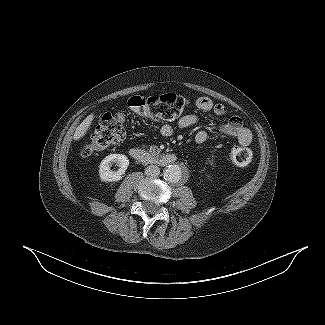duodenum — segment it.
Returning a JSON list of instances; mask_svg holds the SVG:
<instances>
[{
    "instance_id": "1",
    "label": "duodenum",
    "mask_w": 325,
    "mask_h": 325,
    "mask_svg": "<svg viewBox=\"0 0 325 325\" xmlns=\"http://www.w3.org/2000/svg\"><path fill=\"white\" fill-rule=\"evenodd\" d=\"M130 154L135 160L144 164L168 166L176 162V156L173 154L155 155L139 146H133Z\"/></svg>"
}]
</instances>
